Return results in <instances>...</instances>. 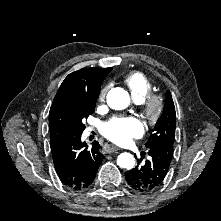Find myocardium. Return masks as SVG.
<instances>
[{
	"instance_id": "myocardium-1",
	"label": "myocardium",
	"mask_w": 221,
	"mask_h": 221,
	"mask_svg": "<svg viewBox=\"0 0 221 221\" xmlns=\"http://www.w3.org/2000/svg\"><path fill=\"white\" fill-rule=\"evenodd\" d=\"M142 113L146 122L155 126L163 113V101L159 95L152 94L150 95L143 104Z\"/></svg>"
}]
</instances>
